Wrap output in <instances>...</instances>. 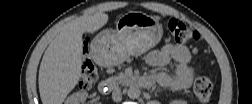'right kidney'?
Segmentation results:
<instances>
[{
    "instance_id": "1",
    "label": "right kidney",
    "mask_w": 252,
    "mask_h": 104,
    "mask_svg": "<svg viewBox=\"0 0 252 104\" xmlns=\"http://www.w3.org/2000/svg\"><path fill=\"white\" fill-rule=\"evenodd\" d=\"M87 97H88V94L86 92H77L70 95L67 98L66 104H80L81 102L86 100Z\"/></svg>"
}]
</instances>
